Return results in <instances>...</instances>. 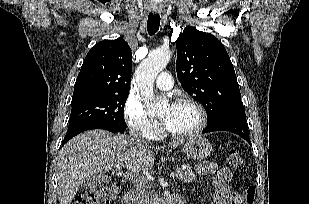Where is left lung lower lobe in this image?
Returning <instances> with one entry per match:
<instances>
[{
    "mask_svg": "<svg viewBox=\"0 0 309 204\" xmlns=\"http://www.w3.org/2000/svg\"><path fill=\"white\" fill-rule=\"evenodd\" d=\"M229 131L244 138L249 144V133L244 109L226 111L207 123L203 133Z\"/></svg>",
    "mask_w": 309,
    "mask_h": 204,
    "instance_id": "left-lung-lower-lobe-1",
    "label": "left lung lower lobe"
}]
</instances>
